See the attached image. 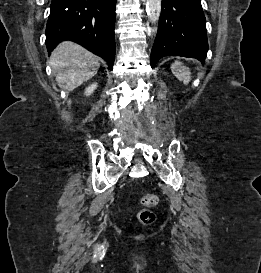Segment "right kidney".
Masks as SVG:
<instances>
[{
	"label": "right kidney",
	"instance_id": "1",
	"mask_svg": "<svg viewBox=\"0 0 261 273\" xmlns=\"http://www.w3.org/2000/svg\"><path fill=\"white\" fill-rule=\"evenodd\" d=\"M96 87H97L96 83L95 84H91L90 86H88L85 89V95H87V96L91 95L94 92V90L96 89Z\"/></svg>",
	"mask_w": 261,
	"mask_h": 273
}]
</instances>
